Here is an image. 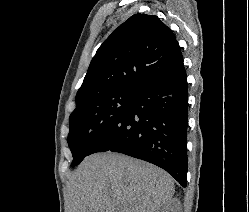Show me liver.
<instances>
[{
	"mask_svg": "<svg viewBox=\"0 0 249 212\" xmlns=\"http://www.w3.org/2000/svg\"><path fill=\"white\" fill-rule=\"evenodd\" d=\"M173 178L142 160L106 152L87 156L67 184V212L172 210Z\"/></svg>",
	"mask_w": 249,
	"mask_h": 212,
	"instance_id": "1",
	"label": "liver"
}]
</instances>
